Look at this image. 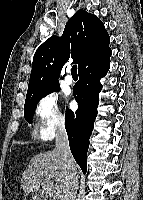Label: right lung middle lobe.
<instances>
[{"label":"right lung middle lobe","instance_id":"1","mask_svg":"<svg viewBox=\"0 0 143 200\" xmlns=\"http://www.w3.org/2000/svg\"><path fill=\"white\" fill-rule=\"evenodd\" d=\"M59 90H60L59 84H57V85H53V86L44 88V89L36 92L32 96L26 98L25 105H24V117L28 123L32 122L36 106H37L38 102L40 101V99L51 92L59 91Z\"/></svg>","mask_w":143,"mask_h":200}]
</instances>
